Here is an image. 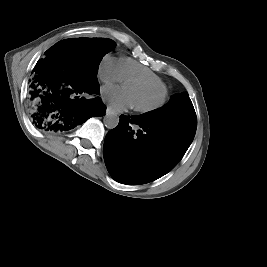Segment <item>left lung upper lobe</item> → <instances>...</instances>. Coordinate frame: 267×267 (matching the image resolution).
I'll return each mask as SVG.
<instances>
[{"label": "left lung upper lobe", "instance_id": "obj_1", "mask_svg": "<svg viewBox=\"0 0 267 267\" xmlns=\"http://www.w3.org/2000/svg\"><path fill=\"white\" fill-rule=\"evenodd\" d=\"M146 120L171 121L197 127V117L188 93L175 94L160 109L140 115Z\"/></svg>", "mask_w": 267, "mask_h": 267}]
</instances>
